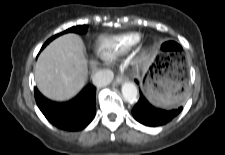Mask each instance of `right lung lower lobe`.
Listing matches in <instances>:
<instances>
[{
    "label": "right lung lower lobe",
    "instance_id": "obj_1",
    "mask_svg": "<svg viewBox=\"0 0 225 155\" xmlns=\"http://www.w3.org/2000/svg\"><path fill=\"white\" fill-rule=\"evenodd\" d=\"M95 87L87 85L82 92L68 102H52L37 88L34 89L36 103L46 119L54 126L66 131L84 129L95 117Z\"/></svg>",
    "mask_w": 225,
    "mask_h": 155
}]
</instances>
